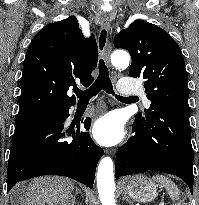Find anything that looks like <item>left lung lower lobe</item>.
<instances>
[{
	"label": "left lung lower lobe",
	"instance_id": "left-lung-lower-lobe-1",
	"mask_svg": "<svg viewBox=\"0 0 199 205\" xmlns=\"http://www.w3.org/2000/svg\"><path fill=\"white\" fill-rule=\"evenodd\" d=\"M151 119L134 121L133 136L116 155L115 177L157 170L183 179L192 193L193 158L187 114L150 107Z\"/></svg>",
	"mask_w": 199,
	"mask_h": 205
}]
</instances>
